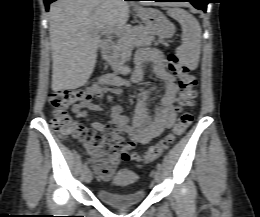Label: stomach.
Here are the masks:
<instances>
[{
    "mask_svg": "<svg viewBox=\"0 0 260 217\" xmlns=\"http://www.w3.org/2000/svg\"><path fill=\"white\" fill-rule=\"evenodd\" d=\"M138 14L145 25L161 38H169L175 32L174 25L157 9L140 8ZM122 74H127L128 67H120L118 70Z\"/></svg>",
    "mask_w": 260,
    "mask_h": 217,
    "instance_id": "stomach-1",
    "label": "stomach"
}]
</instances>
